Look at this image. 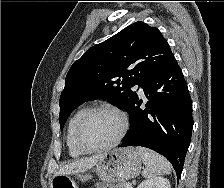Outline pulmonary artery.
I'll return each mask as SVG.
<instances>
[{"instance_id":"pulmonary-artery-1","label":"pulmonary artery","mask_w":224,"mask_h":188,"mask_svg":"<svg viewBox=\"0 0 224 188\" xmlns=\"http://www.w3.org/2000/svg\"><path fill=\"white\" fill-rule=\"evenodd\" d=\"M137 88L139 89V92L142 94L143 93V89L139 86H137Z\"/></svg>"}]
</instances>
